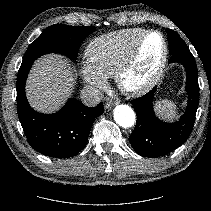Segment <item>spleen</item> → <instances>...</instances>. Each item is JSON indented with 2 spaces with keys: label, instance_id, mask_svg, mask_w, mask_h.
Returning <instances> with one entry per match:
<instances>
[{
  "label": "spleen",
  "instance_id": "obj_1",
  "mask_svg": "<svg viewBox=\"0 0 211 211\" xmlns=\"http://www.w3.org/2000/svg\"><path fill=\"white\" fill-rule=\"evenodd\" d=\"M157 109L164 114L166 118H173L176 116V105L168 100H162L157 103Z\"/></svg>",
  "mask_w": 211,
  "mask_h": 211
}]
</instances>
